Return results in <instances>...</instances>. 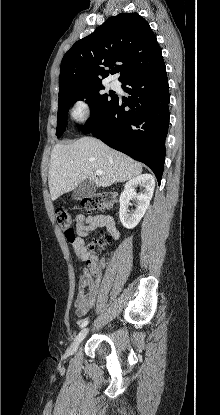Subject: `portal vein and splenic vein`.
<instances>
[{"label":"portal vein and splenic vein","mask_w":220,"mask_h":415,"mask_svg":"<svg viewBox=\"0 0 220 415\" xmlns=\"http://www.w3.org/2000/svg\"><path fill=\"white\" fill-rule=\"evenodd\" d=\"M95 174H96V175H98V176H100V175H102V171H101V170H97V171L95 172Z\"/></svg>","instance_id":"obj_1"}]
</instances>
